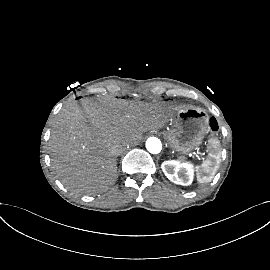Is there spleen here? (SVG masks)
<instances>
[{
	"label": "spleen",
	"mask_w": 270,
	"mask_h": 270,
	"mask_svg": "<svg viewBox=\"0 0 270 270\" xmlns=\"http://www.w3.org/2000/svg\"><path fill=\"white\" fill-rule=\"evenodd\" d=\"M209 159H206L201 164L198 171V181L199 182H210L212 180V172L217 169L220 162V141L217 138H211L208 143ZM183 166L191 167L194 166L190 162L182 163Z\"/></svg>",
	"instance_id": "spleen-1"
}]
</instances>
